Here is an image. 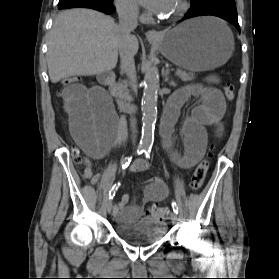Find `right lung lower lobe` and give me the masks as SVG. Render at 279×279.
Segmentation results:
<instances>
[{
  "label": "right lung lower lobe",
  "mask_w": 279,
  "mask_h": 279,
  "mask_svg": "<svg viewBox=\"0 0 279 279\" xmlns=\"http://www.w3.org/2000/svg\"><path fill=\"white\" fill-rule=\"evenodd\" d=\"M74 7L92 8L105 14H111L115 11L112 3L105 0H60L59 9Z\"/></svg>",
  "instance_id": "1"
}]
</instances>
